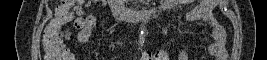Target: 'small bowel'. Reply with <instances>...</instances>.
I'll use <instances>...</instances> for the list:
<instances>
[{"mask_svg": "<svg viewBox=\"0 0 267 60\" xmlns=\"http://www.w3.org/2000/svg\"><path fill=\"white\" fill-rule=\"evenodd\" d=\"M99 1L91 0L82 3H77L72 6V9L79 15L75 21H81L83 26L79 28L77 33V41L79 43H87L92 35L93 28L97 24V18L94 15H84V8L90 7ZM191 1L188 0H169L163 4V8L167 9L177 4H186ZM217 0H202L198 2L196 7L188 12L185 19L192 21H205L211 27L212 42L208 47V53L217 60H225L227 57L226 51V31L223 25L215 18L213 14L214 8L218 5ZM55 23L52 22L48 30L54 29ZM69 37V34H68ZM190 47L183 48L178 56V60H188ZM141 60H170L169 54L164 51L142 53Z\"/></svg>", "mask_w": 267, "mask_h": 60, "instance_id": "c3829d8e", "label": "small bowel"}]
</instances>
